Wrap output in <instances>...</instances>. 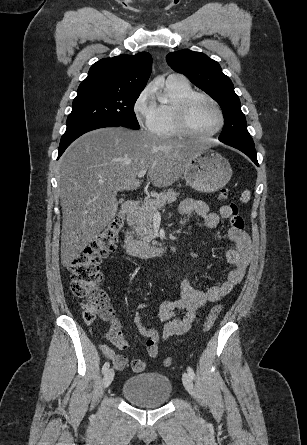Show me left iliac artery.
Here are the masks:
<instances>
[{
	"mask_svg": "<svg viewBox=\"0 0 307 445\" xmlns=\"http://www.w3.org/2000/svg\"><path fill=\"white\" fill-rule=\"evenodd\" d=\"M187 371H188V374L191 377V379H194L195 378V373H194L193 369L188 366Z\"/></svg>",
	"mask_w": 307,
	"mask_h": 445,
	"instance_id": "44dca946",
	"label": "left iliac artery"
}]
</instances>
